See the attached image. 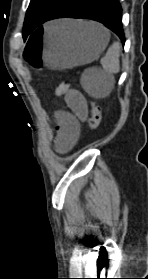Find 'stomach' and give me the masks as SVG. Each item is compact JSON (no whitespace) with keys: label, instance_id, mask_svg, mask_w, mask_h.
<instances>
[{"label":"stomach","instance_id":"0dacf381","mask_svg":"<svg viewBox=\"0 0 148 279\" xmlns=\"http://www.w3.org/2000/svg\"><path fill=\"white\" fill-rule=\"evenodd\" d=\"M57 21L38 24L44 34H28L25 62L27 72H46L47 69H74L96 60L109 42V33L93 23ZM55 29V30H51ZM38 49V50H34Z\"/></svg>","mask_w":148,"mask_h":279}]
</instances>
